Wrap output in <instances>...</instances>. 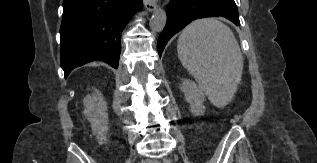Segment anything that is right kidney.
I'll return each instance as SVG.
<instances>
[{"instance_id":"right-kidney-1","label":"right kidney","mask_w":317,"mask_h":163,"mask_svg":"<svg viewBox=\"0 0 317 163\" xmlns=\"http://www.w3.org/2000/svg\"><path fill=\"white\" fill-rule=\"evenodd\" d=\"M83 114L91 124L92 132L96 135L100 144L107 141L108 113L106 102L99 91H95L91 95H87L84 100Z\"/></svg>"}]
</instances>
